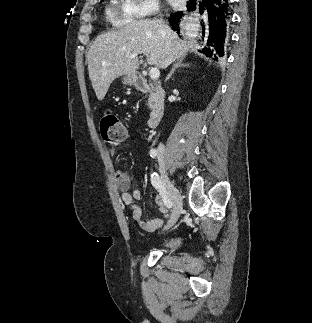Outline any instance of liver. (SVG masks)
Segmentation results:
<instances>
[{
	"instance_id": "1",
	"label": "liver",
	"mask_w": 312,
	"mask_h": 323,
	"mask_svg": "<svg viewBox=\"0 0 312 323\" xmlns=\"http://www.w3.org/2000/svg\"><path fill=\"white\" fill-rule=\"evenodd\" d=\"M164 26L159 20H138L121 30L97 36L87 58L89 78L98 100L105 98L113 80L135 74L138 54H145L149 66L157 68H168L187 56V42ZM131 54H137L136 58H131Z\"/></svg>"
}]
</instances>
